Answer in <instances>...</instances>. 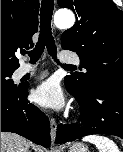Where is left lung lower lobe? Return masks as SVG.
I'll list each match as a JSON object with an SVG mask.
<instances>
[{"label": "left lung lower lobe", "instance_id": "left-lung-lower-lobe-1", "mask_svg": "<svg viewBox=\"0 0 123 152\" xmlns=\"http://www.w3.org/2000/svg\"><path fill=\"white\" fill-rule=\"evenodd\" d=\"M65 85L79 102L81 116L79 123L58 126L57 144L93 134H110L123 139V82L97 84L83 94Z\"/></svg>", "mask_w": 123, "mask_h": 152}]
</instances>
